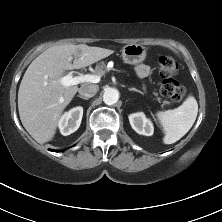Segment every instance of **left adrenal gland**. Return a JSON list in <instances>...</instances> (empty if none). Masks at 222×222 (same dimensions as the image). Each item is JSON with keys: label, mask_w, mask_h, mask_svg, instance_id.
<instances>
[{"label": "left adrenal gland", "mask_w": 222, "mask_h": 222, "mask_svg": "<svg viewBox=\"0 0 222 222\" xmlns=\"http://www.w3.org/2000/svg\"><path fill=\"white\" fill-rule=\"evenodd\" d=\"M129 91H135L138 92L140 94H144L143 92H141L140 90L136 89V88H128Z\"/></svg>", "instance_id": "a2214340"}]
</instances>
